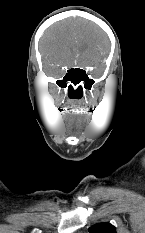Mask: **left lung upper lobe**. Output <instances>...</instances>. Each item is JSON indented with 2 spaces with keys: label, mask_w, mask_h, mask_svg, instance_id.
Masks as SVG:
<instances>
[{
  "label": "left lung upper lobe",
  "mask_w": 145,
  "mask_h": 233,
  "mask_svg": "<svg viewBox=\"0 0 145 233\" xmlns=\"http://www.w3.org/2000/svg\"><path fill=\"white\" fill-rule=\"evenodd\" d=\"M90 233H116L115 227L109 223H98L89 228Z\"/></svg>",
  "instance_id": "left-lung-upper-lobe-1"
}]
</instances>
